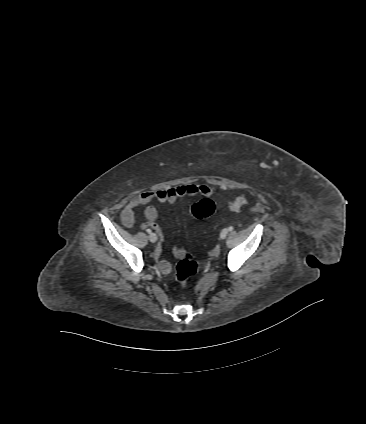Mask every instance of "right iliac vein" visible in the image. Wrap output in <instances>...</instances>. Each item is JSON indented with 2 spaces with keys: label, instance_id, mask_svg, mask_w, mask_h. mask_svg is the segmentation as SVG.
Returning <instances> with one entry per match:
<instances>
[{
  "label": "right iliac vein",
  "instance_id": "1",
  "mask_svg": "<svg viewBox=\"0 0 366 424\" xmlns=\"http://www.w3.org/2000/svg\"><path fill=\"white\" fill-rule=\"evenodd\" d=\"M149 240H150L152 243H155V242L157 241V236H156V234H155V233H151V234L149 235Z\"/></svg>",
  "mask_w": 366,
  "mask_h": 424
}]
</instances>
